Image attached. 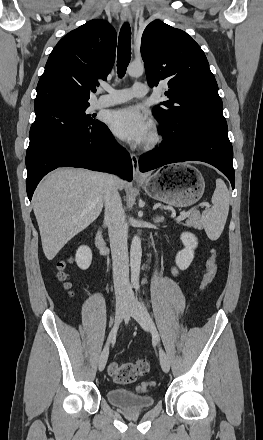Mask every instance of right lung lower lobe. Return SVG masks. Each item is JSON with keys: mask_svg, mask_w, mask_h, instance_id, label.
Masks as SVG:
<instances>
[{"mask_svg": "<svg viewBox=\"0 0 263 440\" xmlns=\"http://www.w3.org/2000/svg\"><path fill=\"white\" fill-rule=\"evenodd\" d=\"M65 166L113 173L128 181L133 176L130 155L116 143L103 124L97 130L60 136L27 152L26 189L29 200L47 173Z\"/></svg>", "mask_w": 263, "mask_h": 440, "instance_id": "98d812e1", "label": "right lung lower lobe"}]
</instances>
